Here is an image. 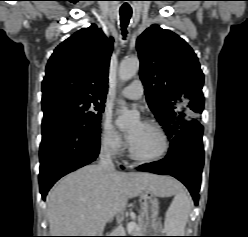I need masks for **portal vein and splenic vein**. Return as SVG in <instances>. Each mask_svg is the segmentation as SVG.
Segmentation results:
<instances>
[{"label": "portal vein and splenic vein", "instance_id": "portal-vein-and-splenic-vein-1", "mask_svg": "<svg viewBox=\"0 0 248 237\" xmlns=\"http://www.w3.org/2000/svg\"><path fill=\"white\" fill-rule=\"evenodd\" d=\"M136 224L134 222H130L128 225H127V231L128 232H131L134 228H135Z\"/></svg>", "mask_w": 248, "mask_h": 237}]
</instances>
